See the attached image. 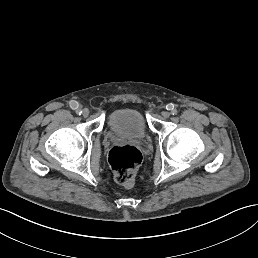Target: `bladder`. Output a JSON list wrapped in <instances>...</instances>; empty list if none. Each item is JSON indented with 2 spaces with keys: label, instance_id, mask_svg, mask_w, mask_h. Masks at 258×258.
Here are the masks:
<instances>
[{
  "label": "bladder",
  "instance_id": "1",
  "mask_svg": "<svg viewBox=\"0 0 258 258\" xmlns=\"http://www.w3.org/2000/svg\"><path fill=\"white\" fill-rule=\"evenodd\" d=\"M108 125L110 130L123 137L141 139L147 134V123L136 109H121L112 113Z\"/></svg>",
  "mask_w": 258,
  "mask_h": 258
}]
</instances>
